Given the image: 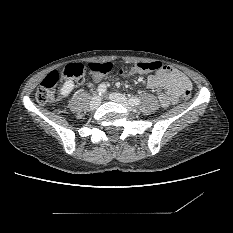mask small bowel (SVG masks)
Listing matches in <instances>:
<instances>
[{"instance_id": "small-bowel-1", "label": "small bowel", "mask_w": 233, "mask_h": 233, "mask_svg": "<svg viewBox=\"0 0 233 233\" xmlns=\"http://www.w3.org/2000/svg\"><path fill=\"white\" fill-rule=\"evenodd\" d=\"M135 73L142 72L130 70V74ZM63 78L68 79L69 76L64 74ZM76 82L82 83L78 79H76ZM146 85L151 90L162 89L158 94V100L163 108H167L178 101L183 90H191V83L187 76L171 66H163L158 72L150 74L147 77Z\"/></svg>"}]
</instances>
